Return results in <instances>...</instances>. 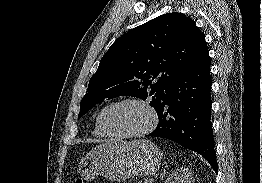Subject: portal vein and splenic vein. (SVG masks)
I'll return each instance as SVG.
<instances>
[{
    "label": "portal vein and splenic vein",
    "mask_w": 262,
    "mask_h": 183,
    "mask_svg": "<svg viewBox=\"0 0 262 183\" xmlns=\"http://www.w3.org/2000/svg\"><path fill=\"white\" fill-rule=\"evenodd\" d=\"M150 183H153V180H150Z\"/></svg>",
    "instance_id": "portal-vein-and-splenic-vein-1"
}]
</instances>
